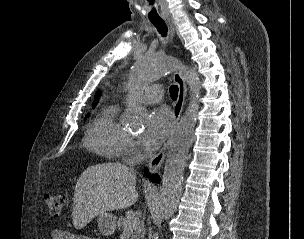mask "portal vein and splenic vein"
Masks as SVG:
<instances>
[{
    "mask_svg": "<svg viewBox=\"0 0 304 239\" xmlns=\"http://www.w3.org/2000/svg\"><path fill=\"white\" fill-rule=\"evenodd\" d=\"M137 224H138L137 221H134L132 224V227L134 228ZM132 227H130V230L132 229ZM125 230H127V229H125Z\"/></svg>",
    "mask_w": 304,
    "mask_h": 239,
    "instance_id": "18ae733b",
    "label": "portal vein and splenic vein"
}]
</instances>
